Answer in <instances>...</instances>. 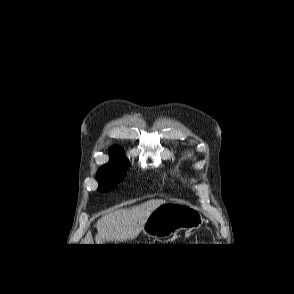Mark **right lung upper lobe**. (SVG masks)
Wrapping results in <instances>:
<instances>
[{"instance_id":"obj_1","label":"right lung upper lobe","mask_w":294,"mask_h":294,"mask_svg":"<svg viewBox=\"0 0 294 294\" xmlns=\"http://www.w3.org/2000/svg\"><path fill=\"white\" fill-rule=\"evenodd\" d=\"M111 152V160L110 162H128V160L125 158L122 149L118 146H115L114 149H110Z\"/></svg>"}]
</instances>
